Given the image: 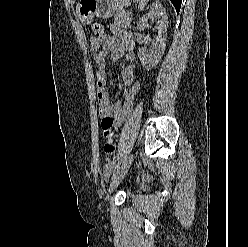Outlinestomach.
<instances>
[{"label": "stomach", "mask_w": 248, "mask_h": 247, "mask_svg": "<svg viewBox=\"0 0 248 247\" xmlns=\"http://www.w3.org/2000/svg\"><path fill=\"white\" fill-rule=\"evenodd\" d=\"M132 0H79L76 6L78 19L90 24L94 17L107 18L119 9L130 5Z\"/></svg>", "instance_id": "obj_1"}]
</instances>
